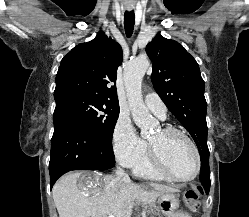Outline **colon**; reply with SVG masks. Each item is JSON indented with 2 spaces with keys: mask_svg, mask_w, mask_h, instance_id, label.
Here are the masks:
<instances>
[{
  "mask_svg": "<svg viewBox=\"0 0 249 217\" xmlns=\"http://www.w3.org/2000/svg\"><path fill=\"white\" fill-rule=\"evenodd\" d=\"M201 195L202 190L200 188L188 189L184 193V202L192 212H197L199 210Z\"/></svg>",
  "mask_w": 249,
  "mask_h": 217,
  "instance_id": "1",
  "label": "colon"
}]
</instances>
